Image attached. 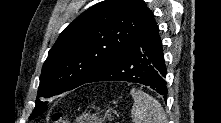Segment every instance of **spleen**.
<instances>
[{
    "instance_id": "3e777b00",
    "label": "spleen",
    "mask_w": 221,
    "mask_h": 123,
    "mask_svg": "<svg viewBox=\"0 0 221 123\" xmlns=\"http://www.w3.org/2000/svg\"><path fill=\"white\" fill-rule=\"evenodd\" d=\"M130 94L134 99L131 117L134 123H166L161 104L147 93L132 88Z\"/></svg>"
}]
</instances>
